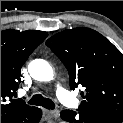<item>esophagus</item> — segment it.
Segmentation results:
<instances>
[{
  "mask_svg": "<svg viewBox=\"0 0 123 123\" xmlns=\"http://www.w3.org/2000/svg\"><path fill=\"white\" fill-rule=\"evenodd\" d=\"M44 113L47 117L59 118L60 111L59 110H44Z\"/></svg>",
  "mask_w": 123,
  "mask_h": 123,
  "instance_id": "34e87169",
  "label": "esophagus"
}]
</instances>
